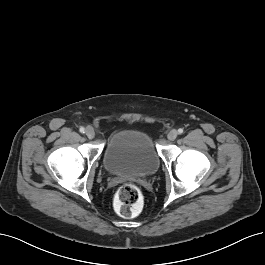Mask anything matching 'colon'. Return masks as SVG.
<instances>
[{
	"label": "colon",
	"mask_w": 265,
	"mask_h": 265,
	"mask_svg": "<svg viewBox=\"0 0 265 265\" xmlns=\"http://www.w3.org/2000/svg\"><path fill=\"white\" fill-rule=\"evenodd\" d=\"M141 202L139 188L132 183H124L117 190L114 205L121 216L129 218L136 215Z\"/></svg>",
	"instance_id": "colon-1"
}]
</instances>
